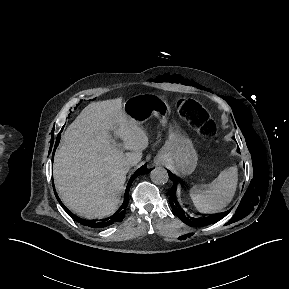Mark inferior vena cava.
I'll return each instance as SVG.
<instances>
[{"label":"inferior vena cava","mask_w":289,"mask_h":289,"mask_svg":"<svg viewBox=\"0 0 289 289\" xmlns=\"http://www.w3.org/2000/svg\"><path fill=\"white\" fill-rule=\"evenodd\" d=\"M135 164H136V162H134V161L128 162V163L126 164V169L129 170V169L131 168V166H133V165H135Z\"/></svg>","instance_id":"inferior-vena-cava-1"}]
</instances>
